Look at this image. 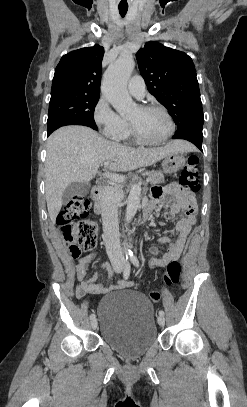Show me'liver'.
<instances>
[{"label":"liver","mask_w":247,"mask_h":407,"mask_svg":"<svg viewBox=\"0 0 247 407\" xmlns=\"http://www.w3.org/2000/svg\"><path fill=\"white\" fill-rule=\"evenodd\" d=\"M192 149L191 144L181 140L153 149H135L108 141L85 126L61 127L47 140L45 193L50 220L54 223L61 210L65 189L73 182L92 180L105 161L111 162L110 170L126 172Z\"/></svg>","instance_id":"obj_1"}]
</instances>
